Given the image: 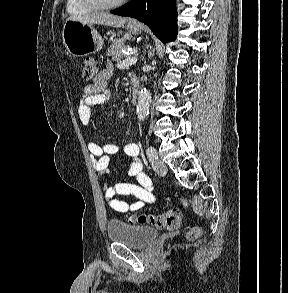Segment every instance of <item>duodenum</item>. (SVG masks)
Masks as SVG:
<instances>
[{"label": "duodenum", "instance_id": "410a0bca", "mask_svg": "<svg viewBox=\"0 0 288 293\" xmlns=\"http://www.w3.org/2000/svg\"><path fill=\"white\" fill-rule=\"evenodd\" d=\"M132 94H131V100L133 104H136L139 99L140 95V82L136 77L132 78Z\"/></svg>", "mask_w": 288, "mask_h": 293}]
</instances>
